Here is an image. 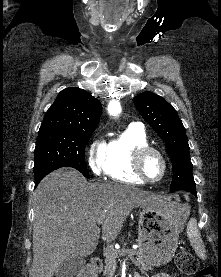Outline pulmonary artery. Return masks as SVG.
Segmentation results:
<instances>
[{
	"mask_svg": "<svg viewBox=\"0 0 221 277\" xmlns=\"http://www.w3.org/2000/svg\"><path fill=\"white\" fill-rule=\"evenodd\" d=\"M130 126H134V127H138V128H143V125H142L141 123H138V122H136V123H131Z\"/></svg>",
	"mask_w": 221,
	"mask_h": 277,
	"instance_id": "obj_1",
	"label": "pulmonary artery"
}]
</instances>
